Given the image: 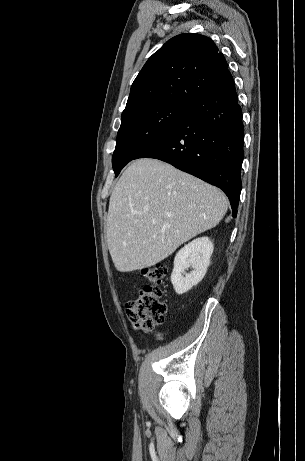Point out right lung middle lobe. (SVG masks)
I'll return each mask as SVG.
<instances>
[{
	"mask_svg": "<svg viewBox=\"0 0 305 461\" xmlns=\"http://www.w3.org/2000/svg\"><path fill=\"white\" fill-rule=\"evenodd\" d=\"M189 104L163 102L143 107L121 117L116 148L112 158L118 176L122 168L148 149L185 115Z\"/></svg>",
	"mask_w": 305,
	"mask_h": 461,
	"instance_id": "1",
	"label": "right lung middle lobe"
}]
</instances>
